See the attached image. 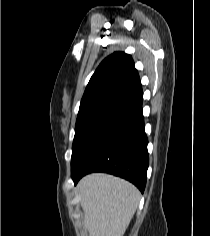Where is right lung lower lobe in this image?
I'll list each match as a JSON object with an SVG mask.
<instances>
[{"label": "right lung lower lobe", "instance_id": "1", "mask_svg": "<svg viewBox=\"0 0 210 236\" xmlns=\"http://www.w3.org/2000/svg\"><path fill=\"white\" fill-rule=\"evenodd\" d=\"M142 102L140 87L88 134L71 160L75 184L88 173L106 172L144 191L149 159Z\"/></svg>", "mask_w": 210, "mask_h": 236}]
</instances>
